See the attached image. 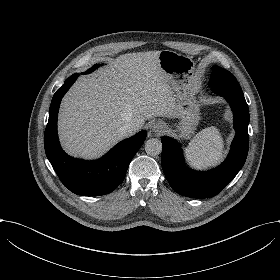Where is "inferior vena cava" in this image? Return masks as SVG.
<instances>
[{
    "mask_svg": "<svg viewBox=\"0 0 280 280\" xmlns=\"http://www.w3.org/2000/svg\"><path fill=\"white\" fill-rule=\"evenodd\" d=\"M140 129L137 125H132L131 123H127L119 128L118 134L121 138H126L130 135H133L136 131Z\"/></svg>",
    "mask_w": 280,
    "mask_h": 280,
    "instance_id": "inferior-vena-cava-1",
    "label": "inferior vena cava"
}]
</instances>
